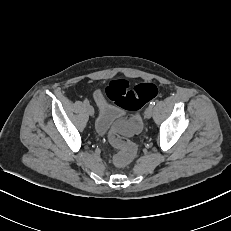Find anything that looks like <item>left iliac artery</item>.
Returning <instances> with one entry per match:
<instances>
[{"instance_id":"left-iliac-artery-1","label":"left iliac artery","mask_w":231,"mask_h":231,"mask_svg":"<svg viewBox=\"0 0 231 231\" xmlns=\"http://www.w3.org/2000/svg\"><path fill=\"white\" fill-rule=\"evenodd\" d=\"M154 105H155V101H151V102H150V106L153 107Z\"/></svg>"}]
</instances>
